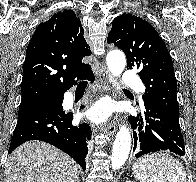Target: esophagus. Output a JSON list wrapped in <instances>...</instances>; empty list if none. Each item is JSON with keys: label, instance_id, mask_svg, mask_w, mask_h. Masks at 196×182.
I'll return each instance as SVG.
<instances>
[{"label": "esophagus", "instance_id": "esophagus-1", "mask_svg": "<svg viewBox=\"0 0 196 182\" xmlns=\"http://www.w3.org/2000/svg\"><path fill=\"white\" fill-rule=\"evenodd\" d=\"M98 76H99V79L101 81V84H102V87L104 90H110L111 88V76H110V72L109 70L106 68V66L102 65L100 68H99V72H98ZM115 121H111V122H108L106 124H104L102 127H101V130L102 132L106 133V134H112L114 133L115 131Z\"/></svg>", "mask_w": 196, "mask_h": 182}]
</instances>
